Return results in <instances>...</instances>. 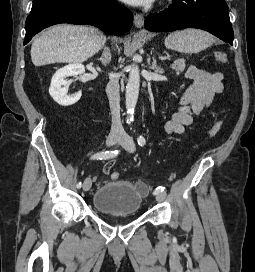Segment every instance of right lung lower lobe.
Segmentation results:
<instances>
[{"instance_id":"right-lung-lower-lobe-1","label":"right lung lower lobe","mask_w":255,"mask_h":272,"mask_svg":"<svg viewBox=\"0 0 255 272\" xmlns=\"http://www.w3.org/2000/svg\"><path fill=\"white\" fill-rule=\"evenodd\" d=\"M59 23L93 25L105 33L120 34L131 29L133 16L115 0H33L24 45L44 28Z\"/></svg>"}]
</instances>
